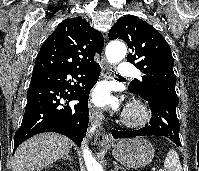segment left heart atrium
Instances as JSON below:
<instances>
[{
  "label": "left heart atrium",
  "mask_w": 199,
  "mask_h": 171,
  "mask_svg": "<svg viewBox=\"0 0 199 171\" xmlns=\"http://www.w3.org/2000/svg\"><path fill=\"white\" fill-rule=\"evenodd\" d=\"M92 100L98 106H105L114 103V100L110 96L106 87L97 88L92 94Z\"/></svg>",
  "instance_id": "obj_1"
}]
</instances>
